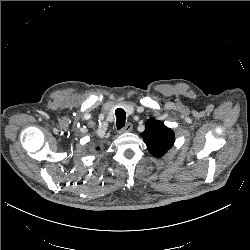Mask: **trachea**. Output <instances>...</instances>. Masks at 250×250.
Instances as JSON below:
<instances>
[{
    "label": "trachea",
    "instance_id": "obj_1",
    "mask_svg": "<svg viewBox=\"0 0 250 250\" xmlns=\"http://www.w3.org/2000/svg\"><path fill=\"white\" fill-rule=\"evenodd\" d=\"M115 115H116V126L117 129H121L125 126V121H126V112L124 111V109L122 108H118L115 111Z\"/></svg>",
    "mask_w": 250,
    "mask_h": 250
}]
</instances>
